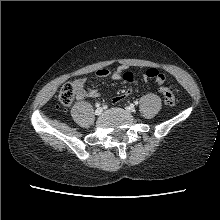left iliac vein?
Listing matches in <instances>:
<instances>
[{
  "mask_svg": "<svg viewBox=\"0 0 220 220\" xmlns=\"http://www.w3.org/2000/svg\"><path fill=\"white\" fill-rule=\"evenodd\" d=\"M126 110L128 111V112H131V113H133V112H135V107L133 106V105H129V106H127L126 107Z\"/></svg>",
  "mask_w": 220,
  "mask_h": 220,
  "instance_id": "4c4485c4",
  "label": "left iliac vein"
}]
</instances>
